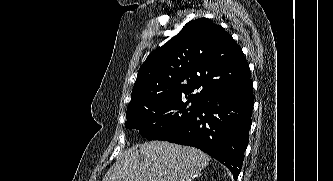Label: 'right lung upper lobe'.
<instances>
[{
  "mask_svg": "<svg viewBox=\"0 0 333 181\" xmlns=\"http://www.w3.org/2000/svg\"><path fill=\"white\" fill-rule=\"evenodd\" d=\"M240 46L221 26L207 18L188 22L140 67L127 111L144 104L178 99L194 89L206 95L250 79Z\"/></svg>",
  "mask_w": 333,
  "mask_h": 181,
  "instance_id": "obj_1",
  "label": "right lung upper lobe"
}]
</instances>
